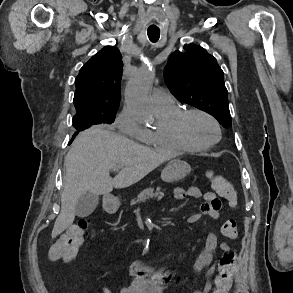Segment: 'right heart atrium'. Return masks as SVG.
<instances>
[{
  "mask_svg": "<svg viewBox=\"0 0 293 293\" xmlns=\"http://www.w3.org/2000/svg\"><path fill=\"white\" fill-rule=\"evenodd\" d=\"M115 126L125 135L143 141L148 137L149 130L143 127L125 107L115 119Z\"/></svg>",
  "mask_w": 293,
  "mask_h": 293,
  "instance_id": "1",
  "label": "right heart atrium"
}]
</instances>
